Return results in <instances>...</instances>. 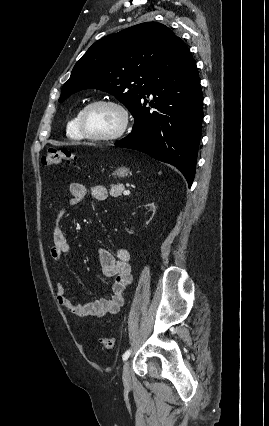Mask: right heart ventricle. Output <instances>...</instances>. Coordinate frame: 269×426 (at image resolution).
<instances>
[{
	"mask_svg": "<svg viewBox=\"0 0 269 426\" xmlns=\"http://www.w3.org/2000/svg\"><path fill=\"white\" fill-rule=\"evenodd\" d=\"M80 112V110L77 111V113L68 121L67 124V135L75 140H81L83 138L78 124Z\"/></svg>",
	"mask_w": 269,
	"mask_h": 426,
	"instance_id": "right-heart-ventricle-1",
	"label": "right heart ventricle"
}]
</instances>
